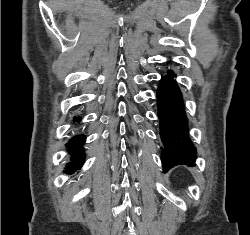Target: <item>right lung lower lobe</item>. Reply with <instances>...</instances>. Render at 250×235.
<instances>
[{"instance_id": "98d812e1", "label": "right lung lower lobe", "mask_w": 250, "mask_h": 235, "mask_svg": "<svg viewBox=\"0 0 250 235\" xmlns=\"http://www.w3.org/2000/svg\"><path fill=\"white\" fill-rule=\"evenodd\" d=\"M75 121L81 120L80 117H74ZM85 136H76L69 140L66 144L69 153L71 154V162L66 165L65 173H73L81 168L84 161L83 144Z\"/></svg>"}]
</instances>
